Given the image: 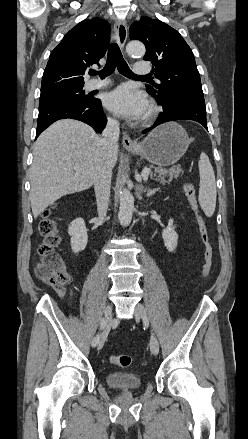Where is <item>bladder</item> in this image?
Returning a JSON list of instances; mask_svg holds the SVG:
<instances>
[{
	"instance_id": "obj_1",
	"label": "bladder",
	"mask_w": 248,
	"mask_h": 439,
	"mask_svg": "<svg viewBox=\"0 0 248 439\" xmlns=\"http://www.w3.org/2000/svg\"><path fill=\"white\" fill-rule=\"evenodd\" d=\"M105 381L108 386L117 390H137L141 388L143 379L133 372H111L106 374Z\"/></svg>"
}]
</instances>
